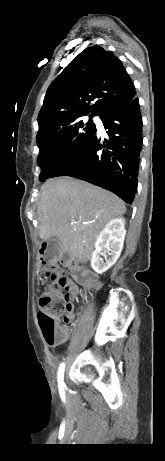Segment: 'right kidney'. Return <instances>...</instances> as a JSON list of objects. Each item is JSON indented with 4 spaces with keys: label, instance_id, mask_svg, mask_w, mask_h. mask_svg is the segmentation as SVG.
<instances>
[{
    "label": "right kidney",
    "instance_id": "1",
    "mask_svg": "<svg viewBox=\"0 0 165 461\" xmlns=\"http://www.w3.org/2000/svg\"><path fill=\"white\" fill-rule=\"evenodd\" d=\"M124 226V218L112 219L98 235L91 256V267L98 274L106 272L119 258L126 235Z\"/></svg>",
    "mask_w": 165,
    "mask_h": 461
}]
</instances>
